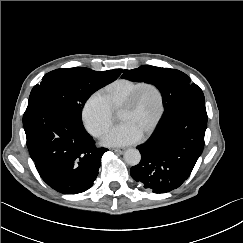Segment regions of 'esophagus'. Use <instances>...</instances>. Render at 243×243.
Returning <instances> with one entry per match:
<instances>
[{"mask_svg":"<svg viewBox=\"0 0 243 243\" xmlns=\"http://www.w3.org/2000/svg\"><path fill=\"white\" fill-rule=\"evenodd\" d=\"M114 152H116V153H120V154H122V153H124L125 152V148H114V149H112Z\"/></svg>","mask_w":243,"mask_h":243,"instance_id":"1","label":"esophagus"}]
</instances>
